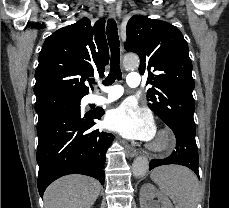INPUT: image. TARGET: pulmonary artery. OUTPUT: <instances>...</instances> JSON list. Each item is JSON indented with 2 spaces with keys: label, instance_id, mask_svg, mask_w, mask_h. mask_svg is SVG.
<instances>
[{
  "label": "pulmonary artery",
  "instance_id": "pulmonary-artery-1",
  "mask_svg": "<svg viewBox=\"0 0 229 208\" xmlns=\"http://www.w3.org/2000/svg\"><path fill=\"white\" fill-rule=\"evenodd\" d=\"M141 75L138 72H131L126 76V83L129 87H137L141 83ZM105 95L92 94L89 100L97 105L107 104L123 94L121 86L104 87L100 85Z\"/></svg>",
  "mask_w": 229,
  "mask_h": 208
}]
</instances>
